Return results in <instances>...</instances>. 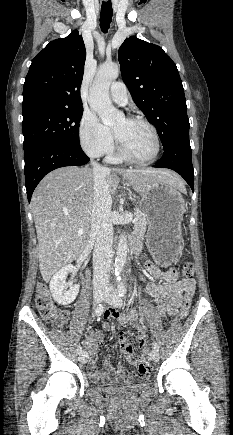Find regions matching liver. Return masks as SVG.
<instances>
[{
    "instance_id": "6515ba94",
    "label": "liver",
    "mask_w": 233,
    "mask_h": 435,
    "mask_svg": "<svg viewBox=\"0 0 233 435\" xmlns=\"http://www.w3.org/2000/svg\"><path fill=\"white\" fill-rule=\"evenodd\" d=\"M117 173L141 192L152 182L161 181L185 191L178 174L166 169L110 170L104 175L110 195L119 185ZM94 200L93 170L67 166L47 174L36 187L31 209L38 239V258L45 281L76 260L89 240ZM83 229V234L78 231Z\"/></svg>"
}]
</instances>
